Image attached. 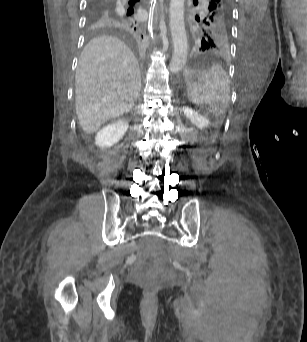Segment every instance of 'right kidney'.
<instances>
[{"mask_svg":"<svg viewBox=\"0 0 307 342\" xmlns=\"http://www.w3.org/2000/svg\"><path fill=\"white\" fill-rule=\"evenodd\" d=\"M129 128L128 122L126 120H115L111 122L108 126H104L99 130L98 134L95 136V146L98 148H111L114 144H117L123 136H125Z\"/></svg>","mask_w":307,"mask_h":342,"instance_id":"ca27d5eb","label":"right kidney"}]
</instances>
